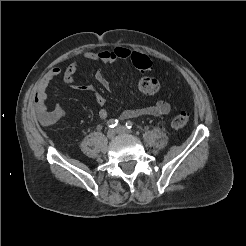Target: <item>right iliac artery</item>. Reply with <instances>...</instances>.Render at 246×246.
I'll return each mask as SVG.
<instances>
[{"mask_svg": "<svg viewBox=\"0 0 246 246\" xmlns=\"http://www.w3.org/2000/svg\"><path fill=\"white\" fill-rule=\"evenodd\" d=\"M117 125H118L117 119H110L109 121H107V126L110 128H114Z\"/></svg>", "mask_w": 246, "mask_h": 246, "instance_id": "82829eb1", "label": "right iliac artery"}]
</instances>
